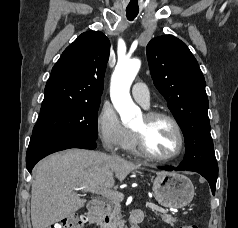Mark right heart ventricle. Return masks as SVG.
<instances>
[{"label":"right heart ventricle","mask_w":238,"mask_h":228,"mask_svg":"<svg viewBox=\"0 0 238 228\" xmlns=\"http://www.w3.org/2000/svg\"><path fill=\"white\" fill-rule=\"evenodd\" d=\"M125 149L133 155H136V156L140 155V153L137 149V146H136L134 134L132 132H131L130 138L125 146Z\"/></svg>","instance_id":"1"}]
</instances>
